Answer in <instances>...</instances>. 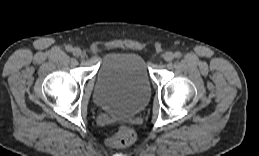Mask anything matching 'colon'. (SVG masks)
<instances>
[{"label": "colon", "mask_w": 259, "mask_h": 156, "mask_svg": "<svg viewBox=\"0 0 259 156\" xmlns=\"http://www.w3.org/2000/svg\"><path fill=\"white\" fill-rule=\"evenodd\" d=\"M136 139L134 130L128 126L119 127L117 134L108 139V145L113 148H120L131 145Z\"/></svg>", "instance_id": "5ec220e1"}]
</instances>
